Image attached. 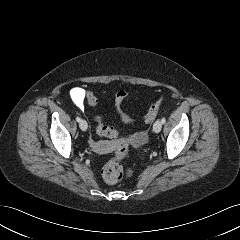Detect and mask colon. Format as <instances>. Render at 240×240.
I'll return each instance as SVG.
<instances>
[{
    "label": "colon",
    "mask_w": 240,
    "mask_h": 240,
    "mask_svg": "<svg viewBox=\"0 0 240 240\" xmlns=\"http://www.w3.org/2000/svg\"><path fill=\"white\" fill-rule=\"evenodd\" d=\"M128 93L124 89H120L115 94V107L120 117L126 123H132L131 119L126 113L122 110V103L127 98ZM86 100L90 106H96L98 99L94 92H86ZM163 96H160L148 109L146 115L143 117V121L148 123L152 121L159 113L161 106L163 104ZM97 131L100 135L113 139L116 141L115 144V156L112 160L107 162L102 169V177L104 181L108 184H115L119 182L125 174L122 161L126 158L128 154V142L125 139L118 138V133L115 128L103 124L100 116L96 117ZM142 138L136 137L135 141L140 142ZM129 174V172H127Z\"/></svg>",
    "instance_id": "5ec220e1"
}]
</instances>
